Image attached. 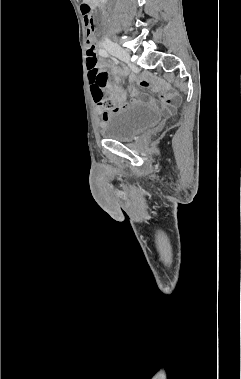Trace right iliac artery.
Listing matches in <instances>:
<instances>
[{"mask_svg":"<svg viewBox=\"0 0 241 379\" xmlns=\"http://www.w3.org/2000/svg\"><path fill=\"white\" fill-rule=\"evenodd\" d=\"M99 54L103 57H108L109 54L107 53V51L105 49H100L99 50Z\"/></svg>","mask_w":241,"mask_h":379,"instance_id":"obj_1","label":"right iliac artery"}]
</instances>
